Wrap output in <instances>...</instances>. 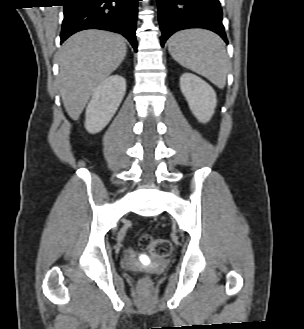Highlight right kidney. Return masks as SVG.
<instances>
[{
	"label": "right kidney",
	"instance_id": "ca27d5eb",
	"mask_svg": "<svg viewBox=\"0 0 304 329\" xmlns=\"http://www.w3.org/2000/svg\"><path fill=\"white\" fill-rule=\"evenodd\" d=\"M126 91L122 76L112 75L93 92L85 114V128L89 133L100 132L117 111Z\"/></svg>",
	"mask_w": 304,
	"mask_h": 329
}]
</instances>
